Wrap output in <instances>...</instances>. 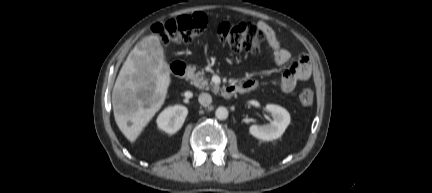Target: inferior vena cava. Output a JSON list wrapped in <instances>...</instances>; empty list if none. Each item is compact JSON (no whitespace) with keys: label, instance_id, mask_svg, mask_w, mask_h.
<instances>
[{"label":"inferior vena cava","instance_id":"602c4592","mask_svg":"<svg viewBox=\"0 0 432 193\" xmlns=\"http://www.w3.org/2000/svg\"><path fill=\"white\" fill-rule=\"evenodd\" d=\"M198 100H199V103L202 105V106H208V105H210L211 104V102H212V97H211V95L210 94H208V93H201L200 95H199V97H198Z\"/></svg>","mask_w":432,"mask_h":193}]
</instances>
